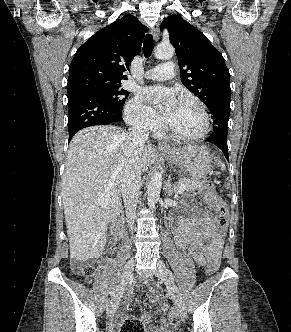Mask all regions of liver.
Here are the masks:
<instances>
[{"mask_svg": "<svg viewBox=\"0 0 291 332\" xmlns=\"http://www.w3.org/2000/svg\"><path fill=\"white\" fill-rule=\"evenodd\" d=\"M128 135L116 126H93L79 131L70 142L62 200L71 259L85 262L103 252L107 226L121 208ZM156 158L154 146H143L141 170L147 172Z\"/></svg>", "mask_w": 291, "mask_h": 332, "instance_id": "6515ba94", "label": "liver"}]
</instances>
